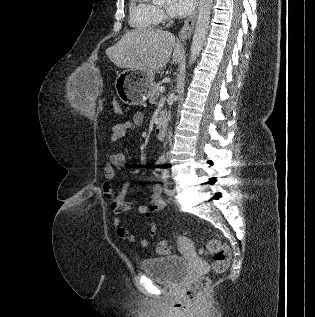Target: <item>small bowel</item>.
<instances>
[{
  "mask_svg": "<svg viewBox=\"0 0 315 317\" xmlns=\"http://www.w3.org/2000/svg\"><path fill=\"white\" fill-rule=\"evenodd\" d=\"M144 120L142 112H136L130 119L123 120L112 127L110 136L111 144H115L129 130H134L139 127ZM126 164V156L123 152H114L109 156L106 162L103 172L105 181L102 185L103 195L110 202V209L114 215L113 226L117 236L122 240H127L131 243L137 241L136 236L122 223L120 214L132 210L136 207L137 211L147 218V225L151 236H155L157 233L156 226L150 221L152 215L165 208L166 203L162 197L161 186L154 182L153 178H149L150 182V205L142 203H133L126 199L127 194L130 191V181L127 180L120 192L115 194L113 182L116 177V172L121 170ZM142 247H147L149 242L146 238H141L139 241Z\"/></svg>",
  "mask_w": 315,
  "mask_h": 317,
  "instance_id": "small-bowel-1",
  "label": "small bowel"
}]
</instances>
